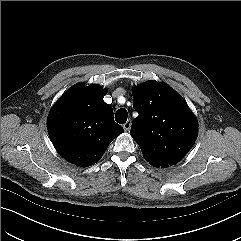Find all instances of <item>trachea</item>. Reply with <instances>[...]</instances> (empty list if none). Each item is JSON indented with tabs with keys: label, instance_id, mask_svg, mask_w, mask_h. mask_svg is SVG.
Instances as JSON below:
<instances>
[{
	"label": "trachea",
	"instance_id": "1",
	"mask_svg": "<svg viewBox=\"0 0 241 241\" xmlns=\"http://www.w3.org/2000/svg\"><path fill=\"white\" fill-rule=\"evenodd\" d=\"M127 117H128V114L126 109L121 108L117 110V112L115 113V120L120 124L126 123Z\"/></svg>",
	"mask_w": 241,
	"mask_h": 241
}]
</instances>
